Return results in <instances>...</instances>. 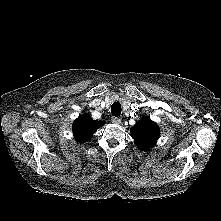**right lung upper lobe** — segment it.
I'll use <instances>...</instances> for the list:
<instances>
[{
    "label": "right lung upper lobe",
    "instance_id": "right-lung-upper-lobe-1",
    "mask_svg": "<svg viewBox=\"0 0 221 221\" xmlns=\"http://www.w3.org/2000/svg\"><path fill=\"white\" fill-rule=\"evenodd\" d=\"M104 124L102 121H94L89 116H79L73 123L74 137L79 143L89 140L96 130Z\"/></svg>",
    "mask_w": 221,
    "mask_h": 221
}]
</instances>
